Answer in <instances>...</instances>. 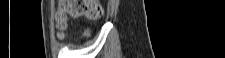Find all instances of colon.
Segmentation results:
<instances>
[{
	"label": "colon",
	"instance_id": "obj_1",
	"mask_svg": "<svg viewBox=\"0 0 225 58\" xmlns=\"http://www.w3.org/2000/svg\"><path fill=\"white\" fill-rule=\"evenodd\" d=\"M103 14L100 0H62L59 3L56 22L59 29V36H63L66 27V18L86 17L88 20H97Z\"/></svg>",
	"mask_w": 225,
	"mask_h": 58
}]
</instances>
